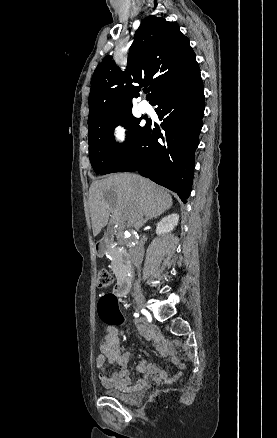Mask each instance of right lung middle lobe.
<instances>
[{
	"mask_svg": "<svg viewBox=\"0 0 277 438\" xmlns=\"http://www.w3.org/2000/svg\"><path fill=\"white\" fill-rule=\"evenodd\" d=\"M140 122L141 118L129 114L88 127L89 158L97 174L114 172L128 157L147 127L148 122L144 126ZM119 124L129 130V137L124 144H117L114 140L113 130Z\"/></svg>",
	"mask_w": 277,
	"mask_h": 438,
	"instance_id": "1",
	"label": "right lung middle lobe"
}]
</instances>
